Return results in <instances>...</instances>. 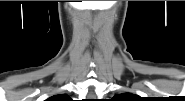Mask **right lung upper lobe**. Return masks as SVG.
<instances>
[{"label": "right lung upper lobe", "mask_w": 185, "mask_h": 101, "mask_svg": "<svg viewBox=\"0 0 185 101\" xmlns=\"http://www.w3.org/2000/svg\"><path fill=\"white\" fill-rule=\"evenodd\" d=\"M50 101H69L70 98L67 95H55L49 98Z\"/></svg>", "instance_id": "right-lung-upper-lobe-1"}]
</instances>
